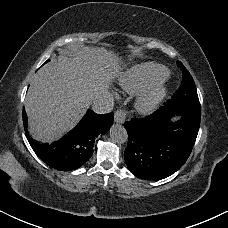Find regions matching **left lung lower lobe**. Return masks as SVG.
<instances>
[{
	"label": "left lung lower lobe",
	"mask_w": 228,
	"mask_h": 228,
	"mask_svg": "<svg viewBox=\"0 0 228 228\" xmlns=\"http://www.w3.org/2000/svg\"><path fill=\"white\" fill-rule=\"evenodd\" d=\"M173 115L182 118L171 122ZM201 117L170 112L168 104L151 115L124 123L128 146L124 152L128 169L145 180L164 179L188 159Z\"/></svg>",
	"instance_id": "0a47b994"
}]
</instances>
